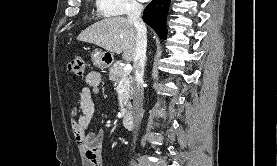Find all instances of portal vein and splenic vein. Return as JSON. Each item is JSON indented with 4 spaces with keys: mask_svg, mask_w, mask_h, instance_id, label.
Returning <instances> with one entry per match:
<instances>
[{
    "mask_svg": "<svg viewBox=\"0 0 277 166\" xmlns=\"http://www.w3.org/2000/svg\"><path fill=\"white\" fill-rule=\"evenodd\" d=\"M131 70V65L130 64H126L124 67V71H130Z\"/></svg>",
    "mask_w": 277,
    "mask_h": 166,
    "instance_id": "obj_1",
    "label": "portal vein and splenic vein"
}]
</instances>
